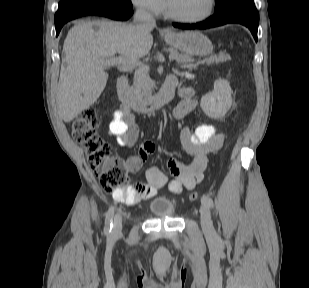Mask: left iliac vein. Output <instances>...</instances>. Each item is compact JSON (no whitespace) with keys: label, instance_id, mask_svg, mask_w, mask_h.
Masks as SVG:
<instances>
[{"label":"left iliac vein","instance_id":"1","mask_svg":"<svg viewBox=\"0 0 309 288\" xmlns=\"http://www.w3.org/2000/svg\"><path fill=\"white\" fill-rule=\"evenodd\" d=\"M200 216H201V226L203 231L211 235L214 233V227L213 223L211 220V214H210V209L208 205L204 202H202L201 207H200Z\"/></svg>","mask_w":309,"mask_h":288}]
</instances>
